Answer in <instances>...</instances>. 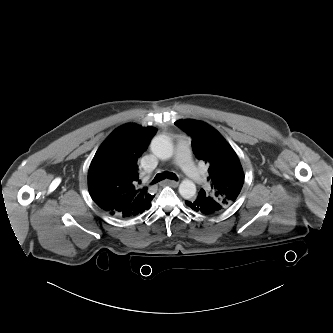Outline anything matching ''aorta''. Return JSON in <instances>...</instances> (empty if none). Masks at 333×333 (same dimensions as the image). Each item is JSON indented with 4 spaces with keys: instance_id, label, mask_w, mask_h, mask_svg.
<instances>
[{
    "instance_id": "1",
    "label": "aorta",
    "mask_w": 333,
    "mask_h": 333,
    "mask_svg": "<svg viewBox=\"0 0 333 333\" xmlns=\"http://www.w3.org/2000/svg\"><path fill=\"white\" fill-rule=\"evenodd\" d=\"M151 151L160 159H169L173 155V144L165 135H159L152 139ZM179 193L185 199H190L196 194V185L189 179L183 180L179 185Z\"/></svg>"
}]
</instances>
